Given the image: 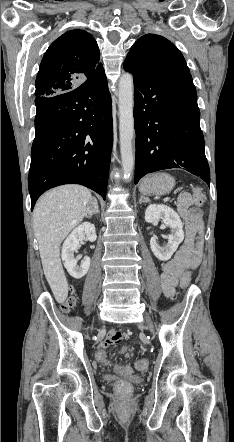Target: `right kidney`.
I'll list each match as a JSON object with an SVG mask.
<instances>
[{"instance_id":"obj_1","label":"right kidney","mask_w":234,"mask_h":442,"mask_svg":"<svg viewBox=\"0 0 234 442\" xmlns=\"http://www.w3.org/2000/svg\"><path fill=\"white\" fill-rule=\"evenodd\" d=\"M97 238L95 226L90 222H84L77 226L66 238L62 246V260L68 273L75 279L85 276L90 267V257H84L80 265L74 253L80 248V241L86 239L94 242Z\"/></svg>"}]
</instances>
